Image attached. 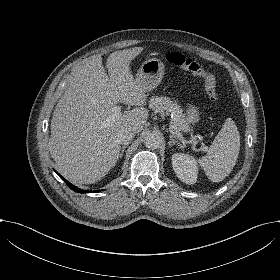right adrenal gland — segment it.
Wrapping results in <instances>:
<instances>
[{
	"label": "right adrenal gland",
	"mask_w": 280,
	"mask_h": 280,
	"mask_svg": "<svg viewBox=\"0 0 280 280\" xmlns=\"http://www.w3.org/2000/svg\"><path fill=\"white\" fill-rule=\"evenodd\" d=\"M125 149H126V146L121 147V153L119 155V158H122Z\"/></svg>",
	"instance_id": "1"
}]
</instances>
